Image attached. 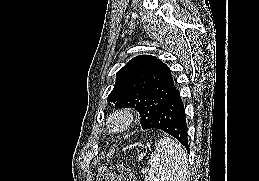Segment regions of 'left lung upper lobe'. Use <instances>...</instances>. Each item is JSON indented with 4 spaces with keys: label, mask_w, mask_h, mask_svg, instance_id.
Listing matches in <instances>:
<instances>
[{
    "label": "left lung upper lobe",
    "mask_w": 259,
    "mask_h": 181,
    "mask_svg": "<svg viewBox=\"0 0 259 181\" xmlns=\"http://www.w3.org/2000/svg\"><path fill=\"white\" fill-rule=\"evenodd\" d=\"M174 89L171 71L166 64L151 55H139L117 72L108 101L117 107L135 108L140 113L144 129Z\"/></svg>",
    "instance_id": "left-lung-upper-lobe-1"
}]
</instances>
